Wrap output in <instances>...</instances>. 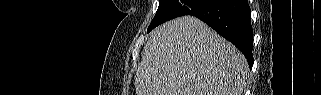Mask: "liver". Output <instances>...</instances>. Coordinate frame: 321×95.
Returning a JSON list of instances; mask_svg holds the SVG:
<instances>
[{
    "mask_svg": "<svg viewBox=\"0 0 321 95\" xmlns=\"http://www.w3.org/2000/svg\"><path fill=\"white\" fill-rule=\"evenodd\" d=\"M249 75L243 54L192 16L150 34L135 75L137 95H242Z\"/></svg>",
    "mask_w": 321,
    "mask_h": 95,
    "instance_id": "1",
    "label": "liver"
}]
</instances>
